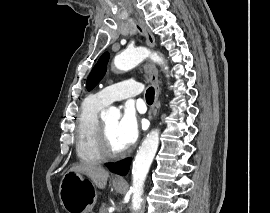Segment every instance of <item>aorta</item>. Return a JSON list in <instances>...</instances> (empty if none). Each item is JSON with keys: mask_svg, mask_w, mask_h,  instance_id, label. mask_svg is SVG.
I'll return each mask as SVG.
<instances>
[{"mask_svg": "<svg viewBox=\"0 0 270 213\" xmlns=\"http://www.w3.org/2000/svg\"><path fill=\"white\" fill-rule=\"evenodd\" d=\"M147 57L154 62L163 64V58L157 53H152L144 47L127 49L114 58V65L117 69L128 71ZM167 69V68H166ZM103 118H120V111L115 107H110L107 111L101 113ZM159 145V131L152 130L143 140L139 150L136 153L132 167V208L137 212L141 208L144 182L153 162Z\"/></svg>", "mask_w": 270, "mask_h": 213, "instance_id": "obj_1", "label": "aorta"}]
</instances>
